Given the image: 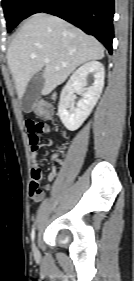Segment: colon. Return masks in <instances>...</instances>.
<instances>
[{
  "mask_svg": "<svg viewBox=\"0 0 134 281\" xmlns=\"http://www.w3.org/2000/svg\"><path fill=\"white\" fill-rule=\"evenodd\" d=\"M35 112L41 116L49 117L52 115V106L46 102H39L35 106ZM41 194V188L38 182H31L30 184V195L39 196Z\"/></svg>",
  "mask_w": 134,
  "mask_h": 281,
  "instance_id": "1",
  "label": "colon"
}]
</instances>
